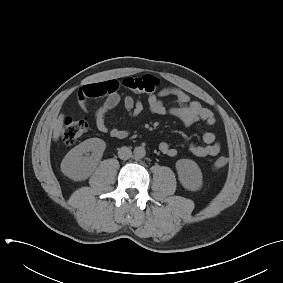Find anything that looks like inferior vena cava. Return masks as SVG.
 Wrapping results in <instances>:
<instances>
[{"mask_svg": "<svg viewBox=\"0 0 283 283\" xmlns=\"http://www.w3.org/2000/svg\"><path fill=\"white\" fill-rule=\"evenodd\" d=\"M132 156V151L128 147H121L118 150V157L122 160H127Z\"/></svg>", "mask_w": 283, "mask_h": 283, "instance_id": "1", "label": "inferior vena cava"}]
</instances>
